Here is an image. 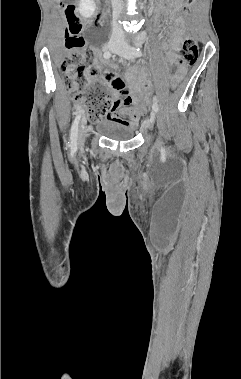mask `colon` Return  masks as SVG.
<instances>
[{
  "label": "colon",
  "instance_id": "1",
  "mask_svg": "<svg viewBox=\"0 0 241 379\" xmlns=\"http://www.w3.org/2000/svg\"><path fill=\"white\" fill-rule=\"evenodd\" d=\"M197 0H186L183 7L184 13L189 16ZM63 11L69 22L70 31L67 34L66 46L67 56L61 63L64 73L65 86L69 94L74 98L79 107L84 110L86 120L91 123L98 122L104 115L112 111L115 103L111 96L99 86H88L86 76L93 74V70L88 66L91 54L85 46L82 37L78 36L81 30L80 17L77 7L74 4H62ZM198 60V47L195 39L189 35H184L179 51V62L184 69L193 66ZM113 85L121 94L128 93L123 82L117 78L113 79ZM181 85L180 79H173L170 83V91L176 92L177 86ZM157 93L156 87H148L140 93L143 103H149L150 98Z\"/></svg>",
  "mask_w": 241,
  "mask_h": 379
}]
</instances>
